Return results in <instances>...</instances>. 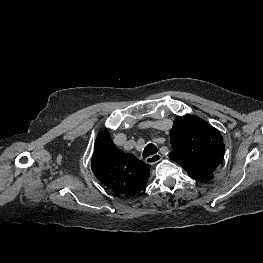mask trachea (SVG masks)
I'll list each match as a JSON object with an SVG mask.
<instances>
[{
  "label": "trachea",
  "mask_w": 263,
  "mask_h": 263,
  "mask_svg": "<svg viewBox=\"0 0 263 263\" xmlns=\"http://www.w3.org/2000/svg\"><path fill=\"white\" fill-rule=\"evenodd\" d=\"M155 153H157V147L154 144L149 143L143 151V157L146 158V157L151 156Z\"/></svg>",
  "instance_id": "obj_1"
}]
</instances>
